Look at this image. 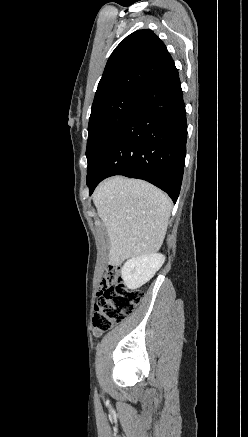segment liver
<instances>
[{"mask_svg":"<svg viewBox=\"0 0 248 437\" xmlns=\"http://www.w3.org/2000/svg\"><path fill=\"white\" fill-rule=\"evenodd\" d=\"M92 199L109 236L110 262L160 249L172 210L171 200L160 189L142 180L116 176L99 184Z\"/></svg>","mask_w":248,"mask_h":437,"instance_id":"1","label":"liver"}]
</instances>
